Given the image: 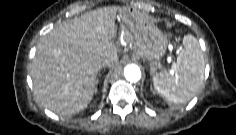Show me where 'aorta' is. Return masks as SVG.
Wrapping results in <instances>:
<instances>
[{"label": "aorta", "instance_id": "obj_1", "mask_svg": "<svg viewBox=\"0 0 236 135\" xmlns=\"http://www.w3.org/2000/svg\"><path fill=\"white\" fill-rule=\"evenodd\" d=\"M124 77L131 83H135L141 79V70L135 64L125 66L123 70Z\"/></svg>", "mask_w": 236, "mask_h": 135}]
</instances>
